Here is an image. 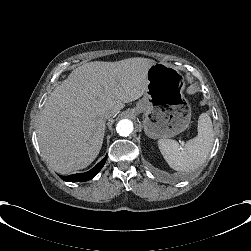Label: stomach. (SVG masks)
Masks as SVG:
<instances>
[{"label": "stomach", "instance_id": "1", "mask_svg": "<svg viewBox=\"0 0 251 251\" xmlns=\"http://www.w3.org/2000/svg\"><path fill=\"white\" fill-rule=\"evenodd\" d=\"M147 87L135 111L144 113V131L151 138L167 139L189 126L191 104L183 95L184 75L172 66L154 63L147 70Z\"/></svg>", "mask_w": 251, "mask_h": 251}]
</instances>
